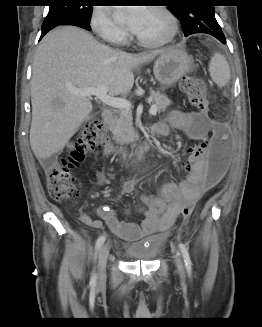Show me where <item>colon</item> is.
<instances>
[{
    "label": "colon",
    "instance_id": "5ec220e1",
    "mask_svg": "<svg viewBox=\"0 0 262 327\" xmlns=\"http://www.w3.org/2000/svg\"><path fill=\"white\" fill-rule=\"evenodd\" d=\"M180 88L189 103L201 112H208L209 101L207 89L202 79L186 76L180 82ZM108 135L103 121H89L75 140L73 150L60 163L53 166L47 175L49 194L58 201L72 199L78 195V189L72 170L81 163L88 151L105 146ZM231 150V132L224 123H217L212 144L208 148L206 142L193 145L189 153L202 154L207 161L206 184L208 188L217 185L226 174ZM195 201H187L180 214L188 218L193 211Z\"/></svg>",
    "mask_w": 262,
    "mask_h": 327
}]
</instances>
